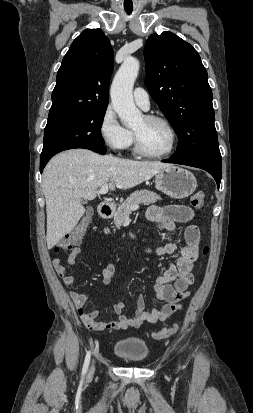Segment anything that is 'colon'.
I'll list each match as a JSON object with an SVG mask.
<instances>
[{
    "label": "colon",
    "mask_w": 253,
    "mask_h": 413,
    "mask_svg": "<svg viewBox=\"0 0 253 413\" xmlns=\"http://www.w3.org/2000/svg\"><path fill=\"white\" fill-rule=\"evenodd\" d=\"M204 202H205L204 193L201 191L194 193L191 197V205L196 210H201L204 206ZM90 219H91V211L89 210L82 217L80 222L73 228V230H71L58 242L57 246L55 247V251H58L59 249L68 250L72 248L73 246L80 244L88 228ZM208 251H209L208 247L205 246L202 249L203 255H207ZM178 329H179V326L177 324H174L171 327L163 328L160 331L154 332L152 334V337L156 340L165 339V338L170 337L174 333H176Z\"/></svg>",
    "instance_id": "colon-1"
}]
</instances>
